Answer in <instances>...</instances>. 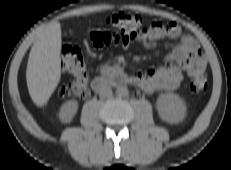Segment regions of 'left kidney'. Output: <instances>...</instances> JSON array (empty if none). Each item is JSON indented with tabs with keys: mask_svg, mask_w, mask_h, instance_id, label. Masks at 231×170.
Masks as SVG:
<instances>
[{
	"mask_svg": "<svg viewBox=\"0 0 231 170\" xmlns=\"http://www.w3.org/2000/svg\"><path fill=\"white\" fill-rule=\"evenodd\" d=\"M156 107L161 119L171 124L181 122L186 115V105L176 94H161Z\"/></svg>",
	"mask_w": 231,
	"mask_h": 170,
	"instance_id": "5707ae66",
	"label": "left kidney"
}]
</instances>
